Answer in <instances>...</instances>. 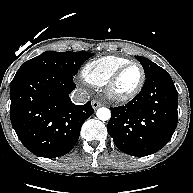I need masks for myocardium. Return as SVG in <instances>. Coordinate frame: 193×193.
Returning <instances> with one entry per match:
<instances>
[{"label":"myocardium","mask_w":193,"mask_h":193,"mask_svg":"<svg viewBox=\"0 0 193 193\" xmlns=\"http://www.w3.org/2000/svg\"><path fill=\"white\" fill-rule=\"evenodd\" d=\"M131 66H137L140 69L141 77L140 81L137 84V86L129 93L126 94H119L116 91V85L120 78V76L123 74V72L128 69ZM146 80V73L143 68V66L136 61H129L128 63L120 66L108 79L107 83L105 84V91L108 96V98L116 103H125L133 98H135L140 91L142 90Z\"/></svg>","instance_id":"myocardium-1"}]
</instances>
